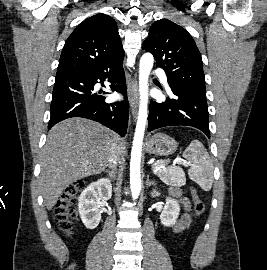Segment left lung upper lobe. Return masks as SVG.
I'll return each instance as SVG.
<instances>
[{"label":"left lung upper lobe","mask_w":267,"mask_h":270,"mask_svg":"<svg viewBox=\"0 0 267 270\" xmlns=\"http://www.w3.org/2000/svg\"><path fill=\"white\" fill-rule=\"evenodd\" d=\"M142 49L153 54L167 74L170 88L206 98L201 54L192 36L168 19L154 22Z\"/></svg>","instance_id":"1"}]
</instances>
